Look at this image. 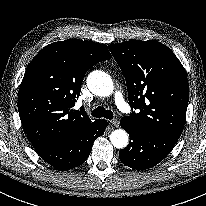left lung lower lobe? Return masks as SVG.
Listing matches in <instances>:
<instances>
[{"label": "left lung lower lobe", "mask_w": 206, "mask_h": 206, "mask_svg": "<svg viewBox=\"0 0 206 206\" xmlns=\"http://www.w3.org/2000/svg\"><path fill=\"white\" fill-rule=\"evenodd\" d=\"M121 127L130 136L128 146L119 152L123 164L137 170L151 168L161 162L172 150L178 139L138 129L123 118Z\"/></svg>", "instance_id": "obj_1"}]
</instances>
